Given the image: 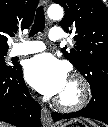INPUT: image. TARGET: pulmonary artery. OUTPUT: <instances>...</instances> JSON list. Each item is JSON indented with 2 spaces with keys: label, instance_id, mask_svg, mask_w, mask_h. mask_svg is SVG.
<instances>
[{
  "label": "pulmonary artery",
  "instance_id": "obj_1",
  "mask_svg": "<svg viewBox=\"0 0 108 127\" xmlns=\"http://www.w3.org/2000/svg\"><path fill=\"white\" fill-rule=\"evenodd\" d=\"M62 30L60 28H52L49 32V38L57 41L62 38ZM45 50V45L41 41H23L11 49L12 56L28 55Z\"/></svg>",
  "mask_w": 108,
  "mask_h": 127
}]
</instances>
